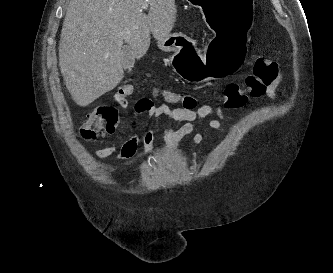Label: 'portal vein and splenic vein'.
Instances as JSON below:
<instances>
[{
  "label": "portal vein and splenic vein",
  "instance_id": "portal-vein-and-splenic-vein-1",
  "mask_svg": "<svg viewBox=\"0 0 333 273\" xmlns=\"http://www.w3.org/2000/svg\"><path fill=\"white\" fill-rule=\"evenodd\" d=\"M142 9H147L148 8V0H145V3L142 4Z\"/></svg>",
  "mask_w": 333,
  "mask_h": 273
}]
</instances>
